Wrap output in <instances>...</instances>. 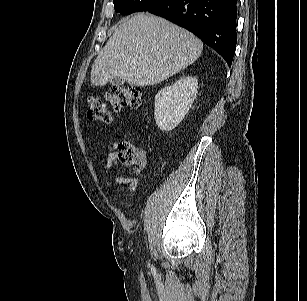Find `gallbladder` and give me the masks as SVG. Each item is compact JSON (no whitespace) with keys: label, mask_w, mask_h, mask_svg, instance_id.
<instances>
[{"label":"gallbladder","mask_w":307,"mask_h":301,"mask_svg":"<svg viewBox=\"0 0 307 301\" xmlns=\"http://www.w3.org/2000/svg\"><path fill=\"white\" fill-rule=\"evenodd\" d=\"M110 83L114 86H122L125 83V80L122 79L121 77H114Z\"/></svg>","instance_id":"bac80fb5"}]
</instances>
